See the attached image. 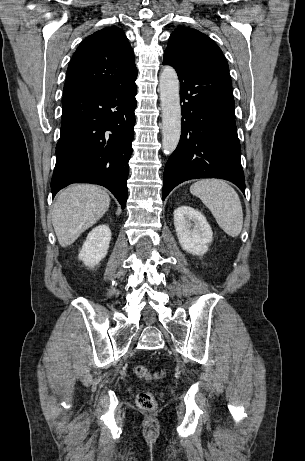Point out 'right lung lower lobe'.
<instances>
[{"mask_svg":"<svg viewBox=\"0 0 305 461\" xmlns=\"http://www.w3.org/2000/svg\"><path fill=\"white\" fill-rule=\"evenodd\" d=\"M136 77L115 87L62 99V125L51 180L53 197L71 183L108 188L122 208L136 108Z\"/></svg>","mask_w":305,"mask_h":461,"instance_id":"1","label":"right lung lower lobe"}]
</instances>
